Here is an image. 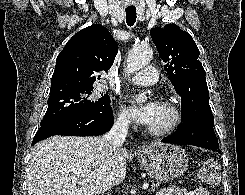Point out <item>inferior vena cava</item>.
I'll use <instances>...</instances> for the list:
<instances>
[{"label": "inferior vena cava", "instance_id": "1", "mask_svg": "<svg viewBox=\"0 0 245 195\" xmlns=\"http://www.w3.org/2000/svg\"><path fill=\"white\" fill-rule=\"evenodd\" d=\"M129 120L126 116H120L111 130L104 136L113 148L122 146L128 133Z\"/></svg>", "mask_w": 245, "mask_h": 195}]
</instances>
